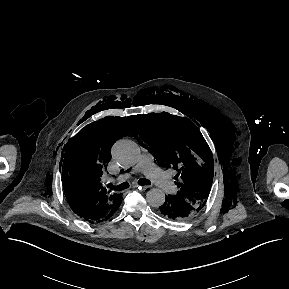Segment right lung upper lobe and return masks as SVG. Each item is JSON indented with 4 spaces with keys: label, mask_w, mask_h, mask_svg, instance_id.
Returning a JSON list of instances; mask_svg holds the SVG:
<instances>
[{
    "label": "right lung upper lobe",
    "mask_w": 289,
    "mask_h": 289,
    "mask_svg": "<svg viewBox=\"0 0 289 289\" xmlns=\"http://www.w3.org/2000/svg\"><path fill=\"white\" fill-rule=\"evenodd\" d=\"M129 118L110 117L84 127L63 155L66 199L71 209L88 222H98L120 206L121 194L107 192L100 177L111 159L112 145L130 132Z\"/></svg>",
    "instance_id": "right-lung-upper-lobe-1"
}]
</instances>
